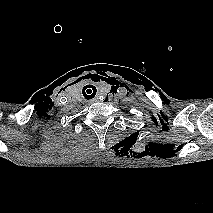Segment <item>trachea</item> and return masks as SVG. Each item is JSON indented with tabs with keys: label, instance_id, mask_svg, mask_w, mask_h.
Here are the masks:
<instances>
[{
	"label": "trachea",
	"instance_id": "3493384b",
	"mask_svg": "<svg viewBox=\"0 0 213 213\" xmlns=\"http://www.w3.org/2000/svg\"><path fill=\"white\" fill-rule=\"evenodd\" d=\"M92 89H93V92H92V90L91 89H87V94H91V95H87L86 94V92H85V90H84V97L86 98V99H92L94 96H95V94H96V88H93V87H91ZM86 89V88H85ZM88 90H90V91H88Z\"/></svg>",
	"mask_w": 213,
	"mask_h": 213
}]
</instances>
